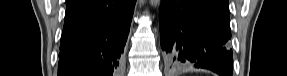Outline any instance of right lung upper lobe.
I'll return each instance as SVG.
<instances>
[{"label":"right lung upper lobe","instance_id":"right-lung-upper-lobe-1","mask_svg":"<svg viewBox=\"0 0 287 76\" xmlns=\"http://www.w3.org/2000/svg\"><path fill=\"white\" fill-rule=\"evenodd\" d=\"M72 0H67V2L66 3H70Z\"/></svg>","mask_w":287,"mask_h":76}]
</instances>
